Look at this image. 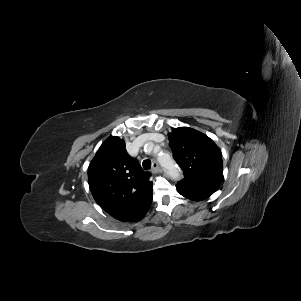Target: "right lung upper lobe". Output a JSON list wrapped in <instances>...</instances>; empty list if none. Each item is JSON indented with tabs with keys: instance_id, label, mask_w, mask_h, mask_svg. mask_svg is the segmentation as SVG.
<instances>
[{
	"instance_id": "right-lung-upper-lobe-1",
	"label": "right lung upper lobe",
	"mask_w": 301,
	"mask_h": 301,
	"mask_svg": "<svg viewBox=\"0 0 301 301\" xmlns=\"http://www.w3.org/2000/svg\"><path fill=\"white\" fill-rule=\"evenodd\" d=\"M150 174L130 157L119 137L106 140L88 168L91 193L100 207L112 217L135 222L148 211L152 202Z\"/></svg>"
}]
</instances>
